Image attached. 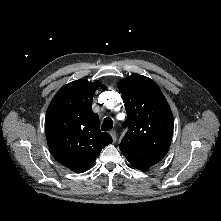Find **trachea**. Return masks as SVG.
<instances>
[{
    "instance_id": "obj_1",
    "label": "trachea",
    "mask_w": 221,
    "mask_h": 221,
    "mask_svg": "<svg viewBox=\"0 0 221 221\" xmlns=\"http://www.w3.org/2000/svg\"><path fill=\"white\" fill-rule=\"evenodd\" d=\"M113 127V121L111 118L107 117L103 120L101 129L102 131H109Z\"/></svg>"
}]
</instances>
